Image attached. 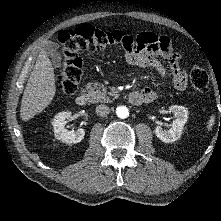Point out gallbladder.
Segmentation results:
<instances>
[{
    "label": "gallbladder",
    "mask_w": 221,
    "mask_h": 221,
    "mask_svg": "<svg viewBox=\"0 0 221 221\" xmlns=\"http://www.w3.org/2000/svg\"><path fill=\"white\" fill-rule=\"evenodd\" d=\"M46 54L51 58L52 63L55 67H60L62 63V57L59 53V45L55 42L49 41L44 47Z\"/></svg>",
    "instance_id": "gallbladder-1"
}]
</instances>
